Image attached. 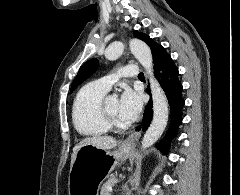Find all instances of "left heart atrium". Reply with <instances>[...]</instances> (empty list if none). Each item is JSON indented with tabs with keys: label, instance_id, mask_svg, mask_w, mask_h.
Segmentation results:
<instances>
[{
	"label": "left heart atrium",
	"instance_id": "39dd6f15",
	"mask_svg": "<svg viewBox=\"0 0 240 195\" xmlns=\"http://www.w3.org/2000/svg\"><path fill=\"white\" fill-rule=\"evenodd\" d=\"M120 115L123 120L134 121L142 109L141 96L132 89H126L120 97Z\"/></svg>",
	"mask_w": 240,
	"mask_h": 195
}]
</instances>
